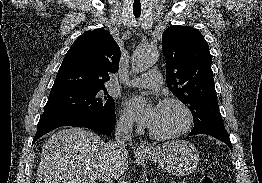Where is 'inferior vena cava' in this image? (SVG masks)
<instances>
[{
	"instance_id": "obj_1",
	"label": "inferior vena cava",
	"mask_w": 262,
	"mask_h": 183,
	"mask_svg": "<svg viewBox=\"0 0 262 183\" xmlns=\"http://www.w3.org/2000/svg\"><path fill=\"white\" fill-rule=\"evenodd\" d=\"M133 122L130 119L122 118L120 119L115 127V139L116 142H111L108 144L109 148L113 150L116 156H127V151L125 148V142L131 140ZM124 173L119 175L120 183H128L124 177Z\"/></svg>"
}]
</instances>
